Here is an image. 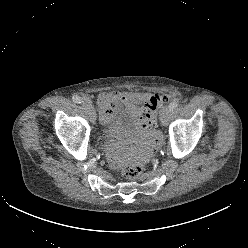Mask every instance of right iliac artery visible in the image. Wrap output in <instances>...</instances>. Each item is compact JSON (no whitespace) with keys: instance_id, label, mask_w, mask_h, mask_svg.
I'll return each instance as SVG.
<instances>
[{"instance_id":"obj_1","label":"right iliac artery","mask_w":248,"mask_h":248,"mask_svg":"<svg viewBox=\"0 0 248 248\" xmlns=\"http://www.w3.org/2000/svg\"><path fill=\"white\" fill-rule=\"evenodd\" d=\"M72 100L77 104H80L82 102V99L78 95H74L72 97Z\"/></svg>"}]
</instances>
